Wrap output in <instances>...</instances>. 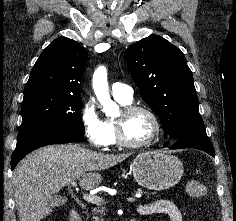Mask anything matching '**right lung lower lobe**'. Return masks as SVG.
I'll return each instance as SVG.
<instances>
[{
	"mask_svg": "<svg viewBox=\"0 0 236 221\" xmlns=\"http://www.w3.org/2000/svg\"><path fill=\"white\" fill-rule=\"evenodd\" d=\"M83 136L82 132L52 126H36L22 130L18 134L17 145L12 155L11 169L13 170L19 160L34 149L50 144L75 142Z\"/></svg>",
	"mask_w": 236,
	"mask_h": 221,
	"instance_id": "98d812e1",
	"label": "right lung lower lobe"
}]
</instances>
